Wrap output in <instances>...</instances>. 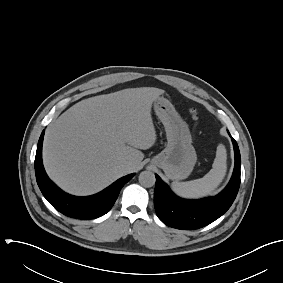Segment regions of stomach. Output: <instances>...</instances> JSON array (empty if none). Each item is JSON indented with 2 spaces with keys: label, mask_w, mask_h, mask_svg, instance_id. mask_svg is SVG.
<instances>
[{
  "label": "stomach",
  "mask_w": 283,
  "mask_h": 283,
  "mask_svg": "<svg viewBox=\"0 0 283 283\" xmlns=\"http://www.w3.org/2000/svg\"><path fill=\"white\" fill-rule=\"evenodd\" d=\"M154 110L164 125L167 146L151 160V164L163 169L171 180L185 179L191 174L197 160L189 127L164 97L154 101Z\"/></svg>",
  "instance_id": "0dacf381"
}]
</instances>
